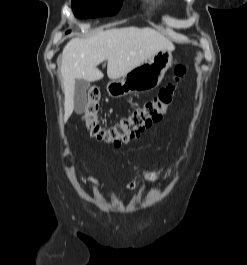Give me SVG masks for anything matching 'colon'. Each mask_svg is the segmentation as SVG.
Masks as SVG:
<instances>
[{
  "mask_svg": "<svg viewBox=\"0 0 247 265\" xmlns=\"http://www.w3.org/2000/svg\"><path fill=\"white\" fill-rule=\"evenodd\" d=\"M185 73V66H177L173 82L163 87L154 98L136 107L110 127H104L100 123V92L97 89H90L87 93L86 107L82 115L85 130L90 137L98 142L115 147L137 138L143 131L150 128L153 123L160 121L165 116L173 102L177 84Z\"/></svg>",
  "mask_w": 247,
  "mask_h": 265,
  "instance_id": "1",
  "label": "colon"
}]
</instances>
